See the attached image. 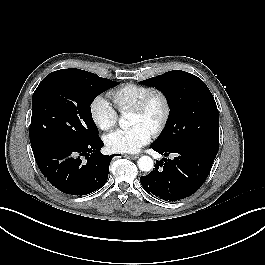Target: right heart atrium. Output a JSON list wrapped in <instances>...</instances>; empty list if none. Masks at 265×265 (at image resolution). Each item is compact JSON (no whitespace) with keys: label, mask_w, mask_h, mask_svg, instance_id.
Returning a JSON list of instances; mask_svg holds the SVG:
<instances>
[{"label":"right heart atrium","mask_w":265,"mask_h":265,"mask_svg":"<svg viewBox=\"0 0 265 265\" xmlns=\"http://www.w3.org/2000/svg\"><path fill=\"white\" fill-rule=\"evenodd\" d=\"M89 114L96 127L103 131L113 128L118 120L116 110L102 95L93 99L89 106Z\"/></svg>","instance_id":"obj_1"}]
</instances>
